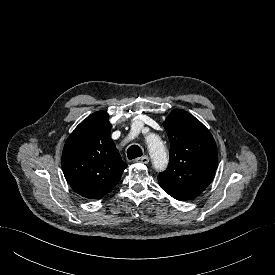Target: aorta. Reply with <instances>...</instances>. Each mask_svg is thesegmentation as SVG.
<instances>
[{"label": "aorta", "mask_w": 275, "mask_h": 275, "mask_svg": "<svg viewBox=\"0 0 275 275\" xmlns=\"http://www.w3.org/2000/svg\"><path fill=\"white\" fill-rule=\"evenodd\" d=\"M147 146L154 167L158 170L164 169L168 157L163 142L159 137L152 135L147 138Z\"/></svg>", "instance_id": "762f6f07"}]
</instances>
